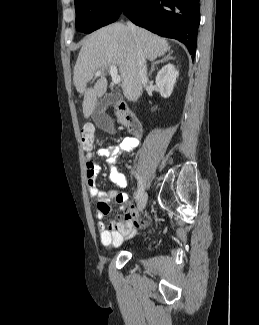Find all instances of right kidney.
<instances>
[{"label":"right kidney","instance_id":"1","mask_svg":"<svg viewBox=\"0 0 259 325\" xmlns=\"http://www.w3.org/2000/svg\"><path fill=\"white\" fill-rule=\"evenodd\" d=\"M178 75L179 72L175 69L173 64H167L158 71L155 80L162 97H170Z\"/></svg>","mask_w":259,"mask_h":325}]
</instances>
